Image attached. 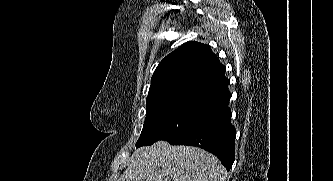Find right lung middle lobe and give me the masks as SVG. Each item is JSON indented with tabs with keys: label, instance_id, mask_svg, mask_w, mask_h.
Instances as JSON below:
<instances>
[{
	"label": "right lung middle lobe",
	"instance_id": "obj_1",
	"mask_svg": "<svg viewBox=\"0 0 333 181\" xmlns=\"http://www.w3.org/2000/svg\"><path fill=\"white\" fill-rule=\"evenodd\" d=\"M206 111L191 106H162L146 109L144 126L136 147L179 137L194 126Z\"/></svg>",
	"mask_w": 333,
	"mask_h": 181
}]
</instances>
